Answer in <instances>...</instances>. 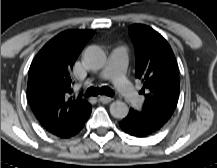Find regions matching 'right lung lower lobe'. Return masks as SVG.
Segmentation results:
<instances>
[{
	"instance_id": "98d812e1",
	"label": "right lung lower lobe",
	"mask_w": 217,
	"mask_h": 168,
	"mask_svg": "<svg viewBox=\"0 0 217 168\" xmlns=\"http://www.w3.org/2000/svg\"><path fill=\"white\" fill-rule=\"evenodd\" d=\"M90 113H89V115L85 119H83L75 127H73L72 129H70L69 131L63 132V133H61L59 135H56V136H58L60 138H70V137L78 134L83 129L85 122L87 121L88 117L90 116Z\"/></svg>"
}]
</instances>
